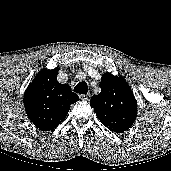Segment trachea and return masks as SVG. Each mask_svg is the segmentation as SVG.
<instances>
[{
  "instance_id": "obj_1",
  "label": "trachea",
  "mask_w": 171,
  "mask_h": 171,
  "mask_svg": "<svg viewBox=\"0 0 171 171\" xmlns=\"http://www.w3.org/2000/svg\"><path fill=\"white\" fill-rule=\"evenodd\" d=\"M76 93H79V94H87L88 92V86H87V83L82 81V82H79L75 87H74V90Z\"/></svg>"
}]
</instances>
